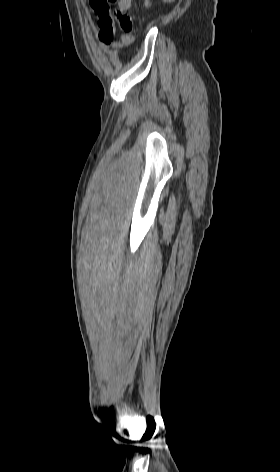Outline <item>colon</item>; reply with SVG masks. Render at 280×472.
<instances>
[{"label":"colon","instance_id":"5ec220e1","mask_svg":"<svg viewBox=\"0 0 280 472\" xmlns=\"http://www.w3.org/2000/svg\"><path fill=\"white\" fill-rule=\"evenodd\" d=\"M114 3H116V0H90L91 7L97 16L98 23L100 25L106 26L113 22L111 6ZM115 17L122 31L126 35H129L133 30V22L131 17L120 10L115 11Z\"/></svg>","mask_w":280,"mask_h":472}]
</instances>
